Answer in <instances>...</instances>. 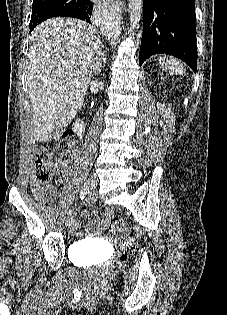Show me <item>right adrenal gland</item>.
Instances as JSON below:
<instances>
[{
    "label": "right adrenal gland",
    "mask_w": 227,
    "mask_h": 315,
    "mask_svg": "<svg viewBox=\"0 0 227 315\" xmlns=\"http://www.w3.org/2000/svg\"><path fill=\"white\" fill-rule=\"evenodd\" d=\"M102 46H101V48L99 49V51H98V55L99 56H101L102 57V59L104 60V62H105V60H106V58H104L106 55H105V51H102Z\"/></svg>",
    "instance_id": "1"
}]
</instances>
